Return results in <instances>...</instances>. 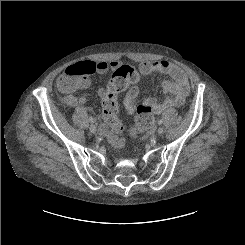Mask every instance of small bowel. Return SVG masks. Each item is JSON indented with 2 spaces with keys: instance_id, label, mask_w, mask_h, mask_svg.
<instances>
[{
  "instance_id": "c3829d8e",
  "label": "small bowel",
  "mask_w": 245,
  "mask_h": 245,
  "mask_svg": "<svg viewBox=\"0 0 245 245\" xmlns=\"http://www.w3.org/2000/svg\"><path fill=\"white\" fill-rule=\"evenodd\" d=\"M97 73H103L109 71L113 76H115L122 68L123 64L118 60L111 61H98L95 62ZM139 73L143 77L149 76L153 73H161L169 76L172 80H166L162 83L163 91L166 93L167 97L159 102L155 98H148L145 100L146 104H149L156 114H160L164 110L171 107L181 106L188 93H189V82L186 74L178 66L170 63L167 60H155V61H144L139 67ZM68 76L67 70L61 74L57 79V86L61 92L64 93L63 100L69 106L83 105L88 101L87 96L77 97L70 92L64 91L60 87V82ZM111 78V79H112ZM111 81V80H110ZM84 87L90 84L88 76L83 79ZM110 82L105 86L97 90V96L103 101L109 92ZM140 96V89L137 85L131 86L123 99L125 109L133 113L137 107L138 100ZM100 131L103 135L108 133L105 126H101Z\"/></svg>"
}]
</instances>
